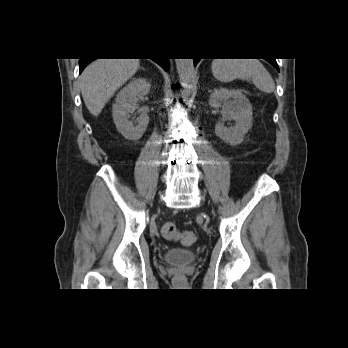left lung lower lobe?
Returning a JSON list of instances; mask_svg holds the SVG:
<instances>
[{
  "label": "left lung lower lobe",
  "mask_w": 348,
  "mask_h": 348,
  "mask_svg": "<svg viewBox=\"0 0 348 348\" xmlns=\"http://www.w3.org/2000/svg\"><path fill=\"white\" fill-rule=\"evenodd\" d=\"M200 59L198 58H195L194 59V66L198 63ZM269 63H271L278 71H279V68H278V65L276 63V60L275 59H272V60H267Z\"/></svg>",
  "instance_id": "1"
}]
</instances>
